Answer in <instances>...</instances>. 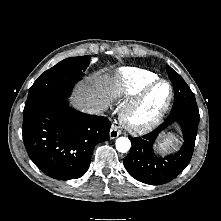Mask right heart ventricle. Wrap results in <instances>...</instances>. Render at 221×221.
Returning a JSON list of instances; mask_svg holds the SVG:
<instances>
[{
    "instance_id": "obj_1",
    "label": "right heart ventricle",
    "mask_w": 221,
    "mask_h": 221,
    "mask_svg": "<svg viewBox=\"0 0 221 221\" xmlns=\"http://www.w3.org/2000/svg\"><path fill=\"white\" fill-rule=\"evenodd\" d=\"M157 79V74L146 69L121 68L116 75L113 93L117 97L137 96Z\"/></svg>"
}]
</instances>
